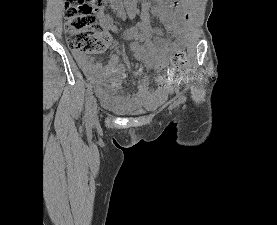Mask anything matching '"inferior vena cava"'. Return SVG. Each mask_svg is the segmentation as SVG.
I'll return each mask as SVG.
<instances>
[{
	"label": "inferior vena cava",
	"instance_id": "1",
	"mask_svg": "<svg viewBox=\"0 0 277 225\" xmlns=\"http://www.w3.org/2000/svg\"><path fill=\"white\" fill-rule=\"evenodd\" d=\"M120 1L121 0H110V2L113 3V4H118V3H120Z\"/></svg>",
	"mask_w": 277,
	"mask_h": 225
}]
</instances>
